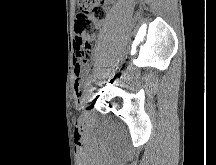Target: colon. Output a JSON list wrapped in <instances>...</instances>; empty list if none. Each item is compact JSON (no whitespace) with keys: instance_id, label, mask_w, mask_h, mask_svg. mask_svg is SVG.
<instances>
[{"instance_id":"5ec220e1","label":"colon","mask_w":216,"mask_h":165,"mask_svg":"<svg viewBox=\"0 0 216 165\" xmlns=\"http://www.w3.org/2000/svg\"><path fill=\"white\" fill-rule=\"evenodd\" d=\"M109 0H78L75 19V60L81 65L93 60L95 34L108 11Z\"/></svg>"}]
</instances>
